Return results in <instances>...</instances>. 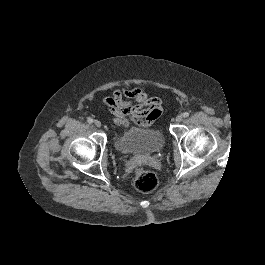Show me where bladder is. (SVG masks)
I'll return each mask as SVG.
<instances>
[{"label":"bladder","mask_w":265,"mask_h":265,"mask_svg":"<svg viewBox=\"0 0 265 265\" xmlns=\"http://www.w3.org/2000/svg\"><path fill=\"white\" fill-rule=\"evenodd\" d=\"M116 149L131 155H151L162 150L165 136L162 130L132 127L121 134H114Z\"/></svg>","instance_id":"bladder-1"}]
</instances>
